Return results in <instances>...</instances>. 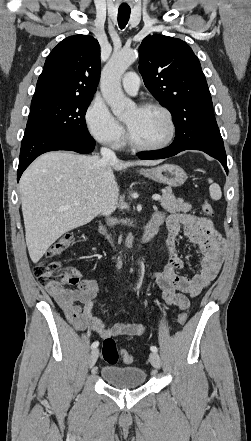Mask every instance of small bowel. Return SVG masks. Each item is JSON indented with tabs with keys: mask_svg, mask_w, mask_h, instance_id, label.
<instances>
[{
	"mask_svg": "<svg viewBox=\"0 0 251 441\" xmlns=\"http://www.w3.org/2000/svg\"><path fill=\"white\" fill-rule=\"evenodd\" d=\"M166 224L168 236V262L161 272L150 274V278L162 290L166 304L180 310L189 307V298L199 295L218 275L224 256V239L213 223L200 216L179 213L153 216ZM182 234L191 247L197 248L203 258L197 274L191 278L182 275L185 263L178 253V239ZM71 325L87 335L97 334L102 338L116 336H139L145 325L140 323H117L106 327L92 314L94 299L99 285L94 279H82L76 288L46 287Z\"/></svg>",
	"mask_w": 251,
	"mask_h": 441,
	"instance_id": "c3829d8e",
	"label": "small bowel"
}]
</instances>
